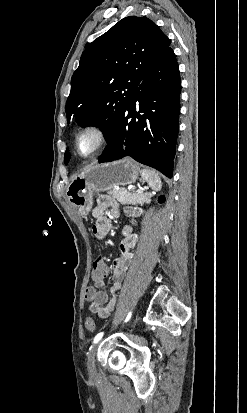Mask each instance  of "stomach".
Listing matches in <instances>:
<instances>
[{
	"label": "stomach",
	"mask_w": 247,
	"mask_h": 413,
	"mask_svg": "<svg viewBox=\"0 0 247 413\" xmlns=\"http://www.w3.org/2000/svg\"><path fill=\"white\" fill-rule=\"evenodd\" d=\"M138 170L131 158L89 164L69 182L66 188L67 200L75 204L80 215L85 217L92 209L94 192L110 190L118 184H132L138 178Z\"/></svg>",
	"instance_id": "0dacf381"
}]
</instances>
